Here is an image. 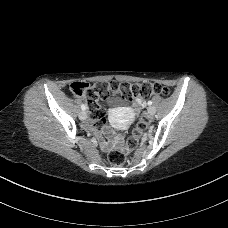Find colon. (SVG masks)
I'll return each mask as SVG.
<instances>
[{
  "label": "colon",
  "mask_w": 228,
  "mask_h": 228,
  "mask_svg": "<svg viewBox=\"0 0 228 228\" xmlns=\"http://www.w3.org/2000/svg\"><path fill=\"white\" fill-rule=\"evenodd\" d=\"M70 90L75 96L85 99L91 116L92 127L97 132L101 131L104 123V112L99 104L101 99L118 95L125 100H144L153 95L168 94V88L160 83L153 82H99L90 86L86 82L78 81L71 84ZM147 124L146 118H140L136 128L127 139L125 147L109 152L107 159L111 164L121 166L124 163L125 155L138 146L141 134L146 129Z\"/></svg>",
  "instance_id": "obj_1"
}]
</instances>
